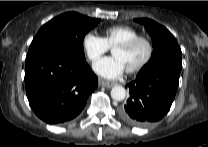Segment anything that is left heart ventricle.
<instances>
[{
  "instance_id": "1",
  "label": "left heart ventricle",
  "mask_w": 208,
  "mask_h": 147,
  "mask_svg": "<svg viewBox=\"0 0 208 147\" xmlns=\"http://www.w3.org/2000/svg\"><path fill=\"white\" fill-rule=\"evenodd\" d=\"M147 54L145 43H138L131 49L114 48L113 55L120 58L126 69H130L139 64Z\"/></svg>"
}]
</instances>
